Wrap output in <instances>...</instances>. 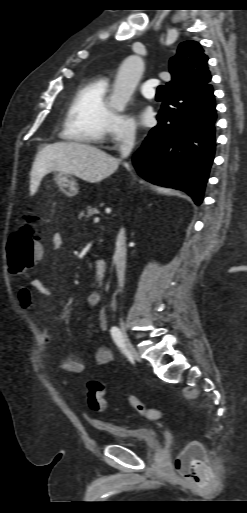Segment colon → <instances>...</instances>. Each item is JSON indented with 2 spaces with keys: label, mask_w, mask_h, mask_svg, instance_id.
I'll return each instance as SVG.
<instances>
[{
  "label": "colon",
  "mask_w": 247,
  "mask_h": 513,
  "mask_svg": "<svg viewBox=\"0 0 247 513\" xmlns=\"http://www.w3.org/2000/svg\"><path fill=\"white\" fill-rule=\"evenodd\" d=\"M39 223L35 219H28L10 236L7 246L9 272L15 277H25L29 274L34 262L41 254L38 243ZM106 388L105 385L92 379L87 385L86 399L94 411H104ZM128 405L137 413L150 420L160 418L161 412L157 408L149 407L138 397L126 395ZM203 461V448L198 442H190L178 454L175 460V470L182 477H191L201 469Z\"/></svg>",
  "instance_id": "1"
}]
</instances>
